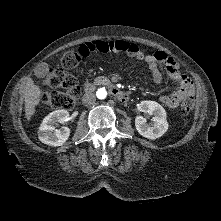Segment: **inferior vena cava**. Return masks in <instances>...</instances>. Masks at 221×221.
<instances>
[{
	"mask_svg": "<svg viewBox=\"0 0 221 221\" xmlns=\"http://www.w3.org/2000/svg\"><path fill=\"white\" fill-rule=\"evenodd\" d=\"M95 101H96V97L93 93L89 92V93H86L83 97H82V103L85 105V106H91V105H94L95 104Z\"/></svg>",
	"mask_w": 221,
	"mask_h": 221,
	"instance_id": "1",
	"label": "inferior vena cava"
}]
</instances>
